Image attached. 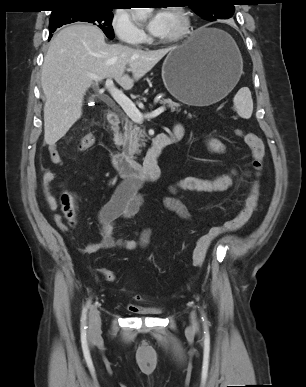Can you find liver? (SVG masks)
I'll use <instances>...</instances> for the list:
<instances>
[{"label":"liver","mask_w":306,"mask_h":387,"mask_svg":"<svg viewBox=\"0 0 306 387\" xmlns=\"http://www.w3.org/2000/svg\"><path fill=\"white\" fill-rule=\"evenodd\" d=\"M175 48L144 51L107 44L103 32L89 24L62 29L51 40L42 66L44 141L54 145L80 119L84 95L94 76L113 78L124 90H130ZM126 69L132 78L125 74Z\"/></svg>","instance_id":"liver-1"}]
</instances>
